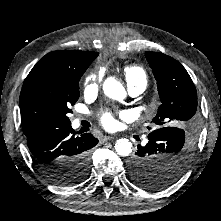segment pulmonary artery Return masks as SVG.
Instances as JSON below:
<instances>
[{"label":"pulmonary artery","mask_w":221,"mask_h":221,"mask_svg":"<svg viewBox=\"0 0 221 221\" xmlns=\"http://www.w3.org/2000/svg\"><path fill=\"white\" fill-rule=\"evenodd\" d=\"M144 89H145L144 86H129V88H128L129 94H130L131 96H138V95H140V94L144 91ZM79 122H80V119H79V118H76V119L73 121V126H74V127H78Z\"/></svg>","instance_id":"e3ab8cb5"}]
</instances>
